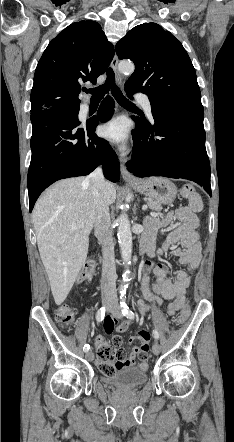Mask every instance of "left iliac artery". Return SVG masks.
I'll list each match as a JSON object with an SVG mask.
<instances>
[{
  "instance_id": "obj_1",
  "label": "left iliac artery",
  "mask_w": 234,
  "mask_h": 442,
  "mask_svg": "<svg viewBox=\"0 0 234 442\" xmlns=\"http://www.w3.org/2000/svg\"><path fill=\"white\" fill-rule=\"evenodd\" d=\"M125 299H126V296H125V293H123L120 296V306H121L122 314L129 319H134V313L129 309ZM153 336L157 340L159 338V333L156 330H153Z\"/></svg>"
}]
</instances>
